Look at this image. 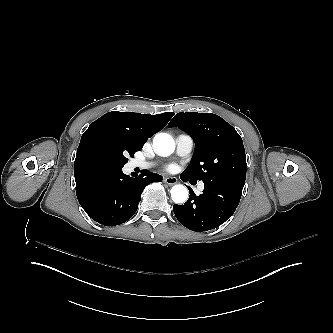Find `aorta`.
<instances>
[{
    "label": "aorta",
    "instance_id": "1",
    "mask_svg": "<svg viewBox=\"0 0 333 333\" xmlns=\"http://www.w3.org/2000/svg\"><path fill=\"white\" fill-rule=\"evenodd\" d=\"M154 150L162 157L170 156L175 150V142L171 135L158 133L153 139ZM171 198L175 203H184L188 199V190L184 185L177 184L171 188Z\"/></svg>",
    "mask_w": 333,
    "mask_h": 333
}]
</instances>
